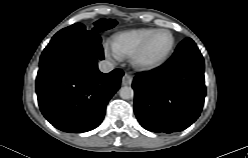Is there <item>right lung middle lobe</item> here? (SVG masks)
<instances>
[{
	"instance_id": "1",
	"label": "right lung middle lobe",
	"mask_w": 248,
	"mask_h": 158,
	"mask_svg": "<svg viewBox=\"0 0 248 158\" xmlns=\"http://www.w3.org/2000/svg\"><path fill=\"white\" fill-rule=\"evenodd\" d=\"M116 24H117L116 20L113 19H100L94 23V28L89 31L99 33L100 31L113 28ZM84 31H87L85 26L83 24L76 23L60 30L58 33L84 32Z\"/></svg>"
}]
</instances>
